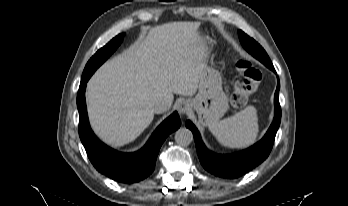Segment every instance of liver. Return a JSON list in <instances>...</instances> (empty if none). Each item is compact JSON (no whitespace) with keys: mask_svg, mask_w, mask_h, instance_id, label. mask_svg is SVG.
Returning <instances> with one entry per match:
<instances>
[{"mask_svg":"<svg viewBox=\"0 0 348 206\" xmlns=\"http://www.w3.org/2000/svg\"><path fill=\"white\" fill-rule=\"evenodd\" d=\"M194 23L150 28L107 60L87 84L89 122L111 148L134 141L154 118V107L172 106L174 94L191 96L199 87L198 57L184 51Z\"/></svg>","mask_w":348,"mask_h":206,"instance_id":"1","label":"liver"}]
</instances>
